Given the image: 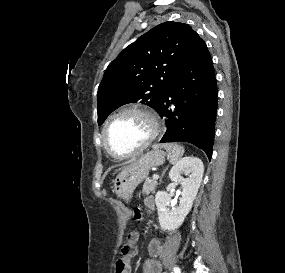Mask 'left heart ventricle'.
I'll list each match as a JSON object with an SVG mask.
<instances>
[{
    "instance_id": "obj_1",
    "label": "left heart ventricle",
    "mask_w": 285,
    "mask_h": 273,
    "mask_svg": "<svg viewBox=\"0 0 285 273\" xmlns=\"http://www.w3.org/2000/svg\"><path fill=\"white\" fill-rule=\"evenodd\" d=\"M149 134L150 125L146 118L136 113H127L110 124L107 143L113 151L126 154L139 147Z\"/></svg>"
}]
</instances>
